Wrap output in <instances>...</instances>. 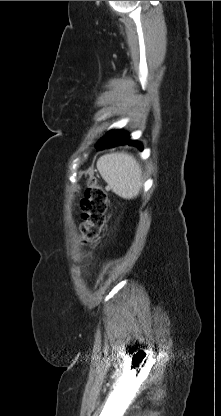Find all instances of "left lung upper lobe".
I'll use <instances>...</instances> for the list:
<instances>
[{
    "label": "left lung upper lobe",
    "mask_w": 221,
    "mask_h": 416,
    "mask_svg": "<svg viewBox=\"0 0 221 416\" xmlns=\"http://www.w3.org/2000/svg\"><path fill=\"white\" fill-rule=\"evenodd\" d=\"M126 135H127L126 133H124V132H122L120 130L109 131L105 135V137H103L100 141L103 142V141L115 140L117 138H120V137H123V136H126Z\"/></svg>",
    "instance_id": "obj_1"
}]
</instances>
